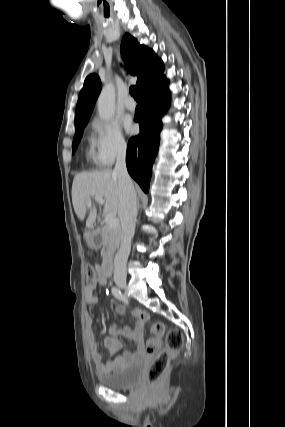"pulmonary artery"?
<instances>
[{
	"instance_id": "e3ab8cb5",
	"label": "pulmonary artery",
	"mask_w": 285,
	"mask_h": 427,
	"mask_svg": "<svg viewBox=\"0 0 285 427\" xmlns=\"http://www.w3.org/2000/svg\"><path fill=\"white\" fill-rule=\"evenodd\" d=\"M124 105H125V107H126L128 110H130V111H133V110H135V108H136V103H135V101L133 100V98H131V97H128V98L124 101Z\"/></svg>"
}]
</instances>
